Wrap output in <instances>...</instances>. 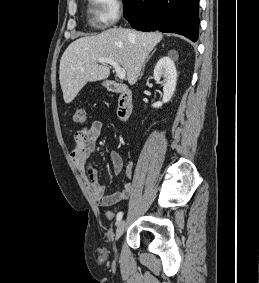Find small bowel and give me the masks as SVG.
I'll return each mask as SVG.
<instances>
[{
	"label": "small bowel",
	"instance_id": "c3829d8e",
	"mask_svg": "<svg viewBox=\"0 0 259 283\" xmlns=\"http://www.w3.org/2000/svg\"><path fill=\"white\" fill-rule=\"evenodd\" d=\"M102 134V122L93 121L90 126L83 127L76 131L74 135V146L70 152V157L77 170L86 178L89 189L97 203L101 207L115 205L125 200L133 190V184L126 182L121 190L111 194H106L104 185L98 182L96 171L90 166L89 160L96 152V141ZM109 158L112 163L113 172L120 174L124 168L122 156L117 151H111ZM134 176L132 165H128L125 169V177L130 180Z\"/></svg>",
	"mask_w": 259,
	"mask_h": 283
}]
</instances>
